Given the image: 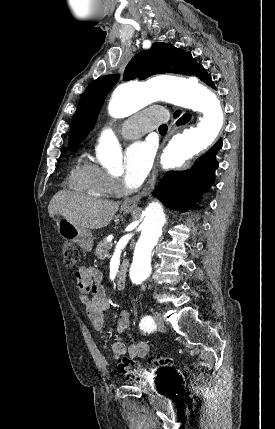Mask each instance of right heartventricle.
<instances>
[{
  "label": "right heart ventricle",
  "mask_w": 275,
  "mask_h": 429,
  "mask_svg": "<svg viewBox=\"0 0 275 429\" xmlns=\"http://www.w3.org/2000/svg\"><path fill=\"white\" fill-rule=\"evenodd\" d=\"M109 175L92 159L82 160L71 172L69 184L83 194L105 198L111 194Z\"/></svg>",
  "instance_id": "1"
}]
</instances>
